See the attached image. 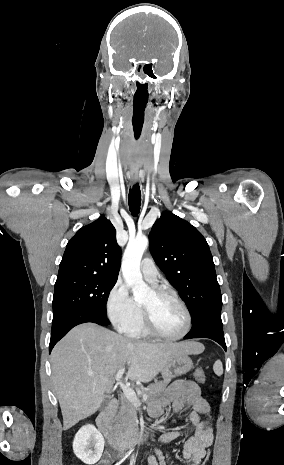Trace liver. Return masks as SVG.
<instances>
[{
	"mask_svg": "<svg viewBox=\"0 0 284 465\" xmlns=\"http://www.w3.org/2000/svg\"><path fill=\"white\" fill-rule=\"evenodd\" d=\"M195 341L144 343L84 323L57 343L51 355L56 397L63 415V431L90 417L110 393L115 375L128 367L126 379L149 383L176 355H200ZM95 375V377H89Z\"/></svg>",
	"mask_w": 284,
	"mask_h": 465,
	"instance_id": "6515ba94",
	"label": "liver"
}]
</instances>
